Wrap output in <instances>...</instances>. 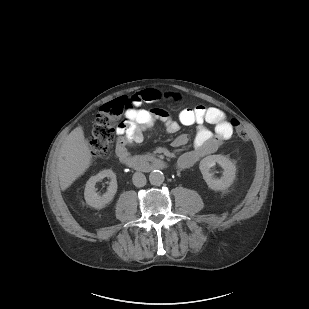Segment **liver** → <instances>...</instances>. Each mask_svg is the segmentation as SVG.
Returning a JSON list of instances; mask_svg holds the SVG:
<instances>
[{
  "instance_id": "liver-1",
  "label": "liver",
  "mask_w": 309,
  "mask_h": 309,
  "mask_svg": "<svg viewBox=\"0 0 309 309\" xmlns=\"http://www.w3.org/2000/svg\"><path fill=\"white\" fill-rule=\"evenodd\" d=\"M92 155L81 126L70 132L63 142L56 162L60 187L66 190L83 175L91 164Z\"/></svg>"
}]
</instances>
